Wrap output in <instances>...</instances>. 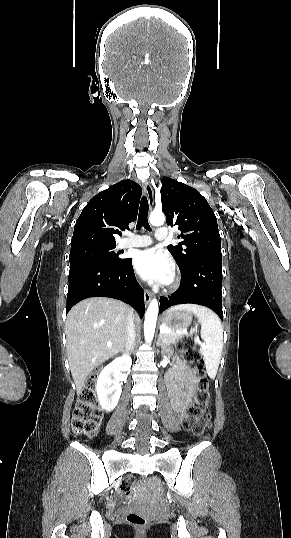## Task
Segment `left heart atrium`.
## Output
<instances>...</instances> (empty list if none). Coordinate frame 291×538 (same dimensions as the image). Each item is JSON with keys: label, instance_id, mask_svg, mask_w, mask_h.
Segmentation results:
<instances>
[{"label": "left heart atrium", "instance_id": "left-heart-atrium-1", "mask_svg": "<svg viewBox=\"0 0 291 538\" xmlns=\"http://www.w3.org/2000/svg\"><path fill=\"white\" fill-rule=\"evenodd\" d=\"M133 265L141 278L147 281L165 284L173 274V265L164 253L156 249H147L135 254Z\"/></svg>", "mask_w": 291, "mask_h": 538}]
</instances>
